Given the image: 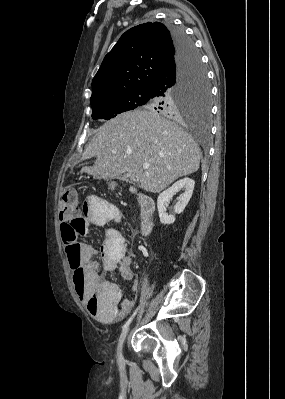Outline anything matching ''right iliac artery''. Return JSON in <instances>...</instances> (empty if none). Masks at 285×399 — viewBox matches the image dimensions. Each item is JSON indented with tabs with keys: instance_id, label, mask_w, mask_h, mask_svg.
Instances as JSON below:
<instances>
[{
	"instance_id": "obj_1",
	"label": "right iliac artery",
	"mask_w": 285,
	"mask_h": 399,
	"mask_svg": "<svg viewBox=\"0 0 285 399\" xmlns=\"http://www.w3.org/2000/svg\"><path fill=\"white\" fill-rule=\"evenodd\" d=\"M136 313H137V309L135 310L133 315L126 321V323L122 326L123 331L128 328L129 324L131 323V321L134 318V316L136 315Z\"/></svg>"
}]
</instances>
